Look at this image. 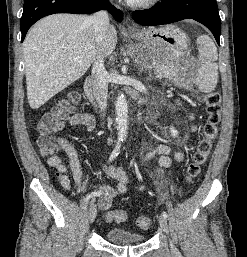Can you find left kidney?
Here are the masks:
<instances>
[{
    "instance_id": "5707ae66",
    "label": "left kidney",
    "mask_w": 247,
    "mask_h": 257,
    "mask_svg": "<svg viewBox=\"0 0 247 257\" xmlns=\"http://www.w3.org/2000/svg\"><path fill=\"white\" fill-rule=\"evenodd\" d=\"M170 133L173 137H177V135H178V131L174 128H170Z\"/></svg>"
}]
</instances>
